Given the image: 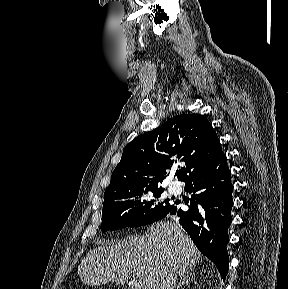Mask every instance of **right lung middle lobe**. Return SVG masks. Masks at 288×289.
Returning <instances> with one entry per match:
<instances>
[{
	"label": "right lung middle lobe",
	"instance_id": "right-lung-middle-lobe-1",
	"mask_svg": "<svg viewBox=\"0 0 288 289\" xmlns=\"http://www.w3.org/2000/svg\"><path fill=\"white\" fill-rule=\"evenodd\" d=\"M163 191L161 187H149L105 196L102 232L147 225L163 218L173 207L169 199L162 198Z\"/></svg>",
	"mask_w": 288,
	"mask_h": 289
}]
</instances>
